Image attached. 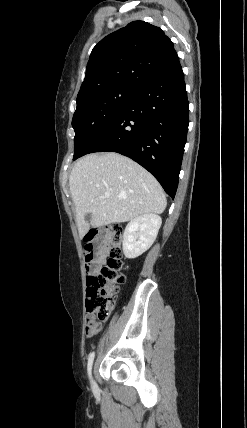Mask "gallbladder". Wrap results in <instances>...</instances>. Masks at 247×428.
Wrapping results in <instances>:
<instances>
[{
	"instance_id": "gallbladder-1",
	"label": "gallbladder",
	"mask_w": 247,
	"mask_h": 428,
	"mask_svg": "<svg viewBox=\"0 0 247 428\" xmlns=\"http://www.w3.org/2000/svg\"><path fill=\"white\" fill-rule=\"evenodd\" d=\"M90 219H91V214H86V216H85V220H86V221H90Z\"/></svg>"
}]
</instances>
